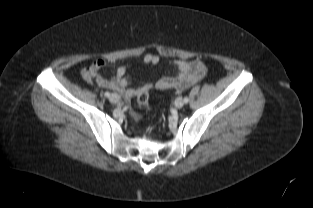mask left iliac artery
Wrapping results in <instances>:
<instances>
[{
  "mask_svg": "<svg viewBox=\"0 0 313 208\" xmlns=\"http://www.w3.org/2000/svg\"><path fill=\"white\" fill-rule=\"evenodd\" d=\"M183 101H184V103H188V102H189V98H188V97H185V98L183 99Z\"/></svg>",
  "mask_w": 313,
  "mask_h": 208,
  "instance_id": "1",
  "label": "left iliac artery"
}]
</instances>
